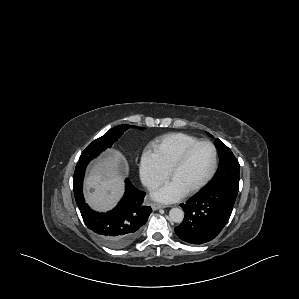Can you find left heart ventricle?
Returning a JSON list of instances; mask_svg holds the SVG:
<instances>
[{
  "label": "left heart ventricle",
  "mask_w": 299,
  "mask_h": 299,
  "mask_svg": "<svg viewBox=\"0 0 299 299\" xmlns=\"http://www.w3.org/2000/svg\"><path fill=\"white\" fill-rule=\"evenodd\" d=\"M213 165V150L207 144L197 147L186 163L174 174L172 181L184 191L200 183Z\"/></svg>",
  "instance_id": "1"
}]
</instances>
